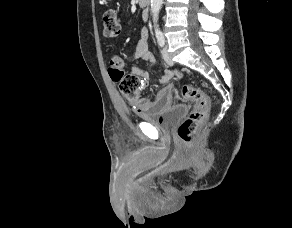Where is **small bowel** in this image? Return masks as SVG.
I'll list each match as a JSON object with an SVG mask.
<instances>
[{"label": "small bowel", "instance_id": "obj_1", "mask_svg": "<svg viewBox=\"0 0 292 228\" xmlns=\"http://www.w3.org/2000/svg\"><path fill=\"white\" fill-rule=\"evenodd\" d=\"M132 57L135 60L145 61L151 64L155 63L154 57L148 50L146 30L142 32L141 38L136 44ZM123 66L124 62L122 60V68ZM130 74L137 76L141 80V89L148 86L150 82V74L146 69L140 66H134L131 68ZM174 75L179 77L182 76L181 72L178 70H164L159 80V82L164 85V87L157 93L154 98L143 97L130 102L134 112L138 116L143 117L158 115L159 113L167 110L172 105L174 85L170 83V81Z\"/></svg>", "mask_w": 292, "mask_h": 228}]
</instances>
